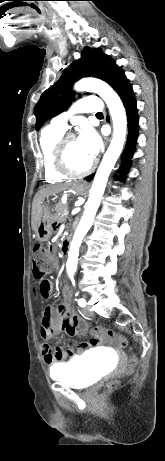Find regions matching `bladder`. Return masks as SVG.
Masks as SVG:
<instances>
[{
  "mask_svg": "<svg viewBox=\"0 0 165 461\" xmlns=\"http://www.w3.org/2000/svg\"><path fill=\"white\" fill-rule=\"evenodd\" d=\"M108 368L99 354L87 353L69 362L51 368V377L71 388L85 389L92 386Z\"/></svg>",
  "mask_w": 165,
  "mask_h": 461,
  "instance_id": "1",
  "label": "bladder"
}]
</instances>
